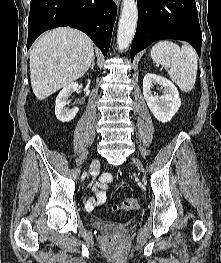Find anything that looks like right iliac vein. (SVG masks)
<instances>
[{
	"instance_id": "63e3f726",
	"label": "right iliac vein",
	"mask_w": 221,
	"mask_h": 263,
	"mask_svg": "<svg viewBox=\"0 0 221 263\" xmlns=\"http://www.w3.org/2000/svg\"><path fill=\"white\" fill-rule=\"evenodd\" d=\"M99 168V161L97 158H94L92 163H91V171L95 172Z\"/></svg>"
}]
</instances>
